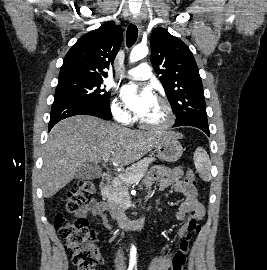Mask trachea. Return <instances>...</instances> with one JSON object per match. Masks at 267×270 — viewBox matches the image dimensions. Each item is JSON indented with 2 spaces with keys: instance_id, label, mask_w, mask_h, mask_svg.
<instances>
[{
  "instance_id": "1",
  "label": "trachea",
  "mask_w": 267,
  "mask_h": 270,
  "mask_svg": "<svg viewBox=\"0 0 267 270\" xmlns=\"http://www.w3.org/2000/svg\"><path fill=\"white\" fill-rule=\"evenodd\" d=\"M138 29L136 25L130 24L126 32V44L128 47H131L137 40Z\"/></svg>"
}]
</instances>
